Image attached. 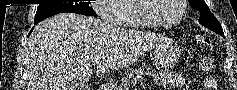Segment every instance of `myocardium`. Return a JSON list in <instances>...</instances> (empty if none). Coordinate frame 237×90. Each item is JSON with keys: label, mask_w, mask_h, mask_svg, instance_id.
<instances>
[{"label": "myocardium", "mask_w": 237, "mask_h": 90, "mask_svg": "<svg viewBox=\"0 0 237 90\" xmlns=\"http://www.w3.org/2000/svg\"><path fill=\"white\" fill-rule=\"evenodd\" d=\"M145 1H150V0H138L134 1L137 9H138V18L141 20V22L144 24L145 28H157L158 29H171L176 26H178L186 12V6L184 3H188L189 0H177L175 1L176 5L178 6V15L176 17V20L171 23H166V24H158L155 21L151 20L149 17H147L143 11H142V3H145Z\"/></svg>", "instance_id": "obj_1"}]
</instances>
